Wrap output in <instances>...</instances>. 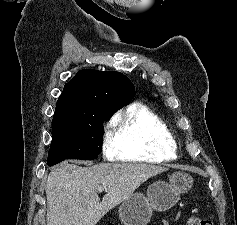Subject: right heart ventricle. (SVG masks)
Masks as SVG:
<instances>
[{
	"label": "right heart ventricle",
	"mask_w": 237,
	"mask_h": 225,
	"mask_svg": "<svg viewBox=\"0 0 237 225\" xmlns=\"http://www.w3.org/2000/svg\"><path fill=\"white\" fill-rule=\"evenodd\" d=\"M117 161L161 163L176 158L169 127L144 105L135 104L114 119Z\"/></svg>",
	"instance_id": "1"
}]
</instances>
